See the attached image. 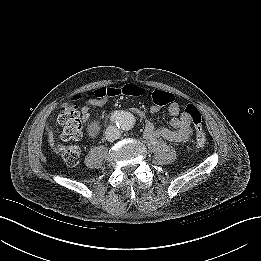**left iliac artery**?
Here are the masks:
<instances>
[{
  "label": "left iliac artery",
  "instance_id": "1",
  "mask_svg": "<svg viewBox=\"0 0 261 261\" xmlns=\"http://www.w3.org/2000/svg\"><path fill=\"white\" fill-rule=\"evenodd\" d=\"M120 126H121V128H122L123 130H129V129L131 128V126H132V121H131V119L125 117V118L123 119V121H121Z\"/></svg>",
  "mask_w": 261,
  "mask_h": 261
}]
</instances>
